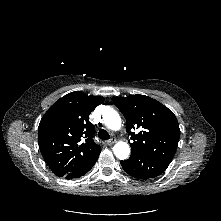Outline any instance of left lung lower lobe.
<instances>
[{"mask_svg":"<svg viewBox=\"0 0 221 221\" xmlns=\"http://www.w3.org/2000/svg\"><path fill=\"white\" fill-rule=\"evenodd\" d=\"M170 162L154 159H143L139 156H130L128 160L121 161L124 171L137 179H150L162 174Z\"/></svg>","mask_w":221,"mask_h":221,"instance_id":"0a47b994","label":"left lung lower lobe"}]
</instances>
